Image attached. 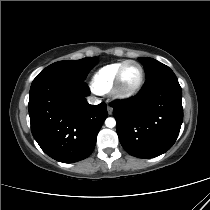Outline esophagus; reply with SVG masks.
Here are the masks:
<instances>
[{
    "label": "esophagus",
    "mask_w": 210,
    "mask_h": 210,
    "mask_svg": "<svg viewBox=\"0 0 210 210\" xmlns=\"http://www.w3.org/2000/svg\"><path fill=\"white\" fill-rule=\"evenodd\" d=\"M107 112L109 115L113 113V107L111 105H107Z\"/></svg>",
    "instance_id": "1"
}]
</instances>
